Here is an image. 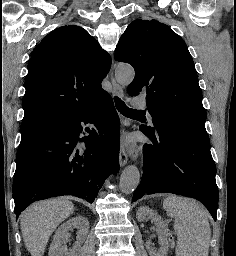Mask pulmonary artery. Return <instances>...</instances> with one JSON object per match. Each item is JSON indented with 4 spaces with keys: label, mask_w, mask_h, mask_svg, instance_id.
I'll return each instance as SVG.
<instances>
[{
    "label": "pulmonary artery",
    "mask_w": 236,
    "mask_h": 256,
    "mask_svg": "<svg viewBox=\"0 0 236 256\" xmlns=\"http://www.w3.org/2000/svg\"><path fill=\"white\" fill-rule=\"evenodd\" d=\"M131 105L133 109H140L141 106H144V101H132Z\"/></svg>",
    "instance_id": "obj_1"
}]
</instances>
